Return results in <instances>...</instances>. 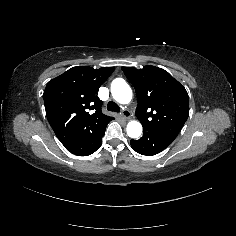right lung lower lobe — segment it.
<instances>
[{
    "mask_svg": "<svg viewBox=\"0 0 236 236\" xmlns=\"http://www.w3.org/2000/svg\"><path fill=\"white\" fill-rule=\"evenodd\" d=\"M107 124L65 145L66 149L78 156H87L94 153L101 146Z\"/></svg>",
    "mask_w": 236,
    "mask_h": 236,
    "instance_id": "obj_1",
    "label": "right lung lower lobe"
}]
</instances>
